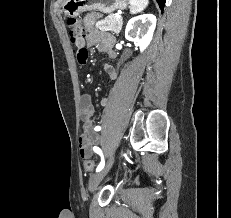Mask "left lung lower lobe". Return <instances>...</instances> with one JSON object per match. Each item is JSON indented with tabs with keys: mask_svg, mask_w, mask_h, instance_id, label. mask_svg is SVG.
<instances>
[{
	"mask_svg": "<svg viewBox=\"0 0 231 218\" xmlns=\"http://www.w3.org/2000/svg\"><path fill=\"white\" fill-rule=\"evenodd\" d=\"M156 1L158 2L160 9L163 10L166 0H156Z\"/></svg>",
	"mask_w": 231,
	"mask_h": 218,
	"instance_id": "obj_1",
	"label": "left lung lower lobe"
}]
</instances>
